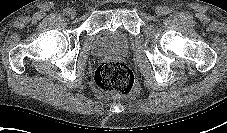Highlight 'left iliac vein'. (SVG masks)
<instances>
[{"instance_id": "4c4485c4", "label": "left iliac vein", "mask_w": 227, "mask_h": 133, "mask_svg": "<svg viewBox=\"0 0 227 133\" xmlns=\"http://www.w3.org/2000/svg\"><path fill=\"white\" fill-rule=\"evenodd\" d=\"M155 13L158 15V16H162L165 14V9L161 6H158L156 9H155Z\"/></svg>"}]
</instances>
